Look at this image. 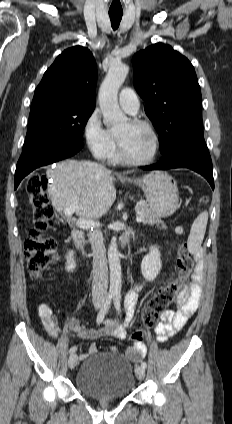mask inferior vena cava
Returning <instances> with one entry per match:
<instances>
[{"label":"inferior vena cava","instance_id":"obj_1","mask_svg":"<svg viewBox=\"0 0 232 424\" xmlns=\"http://www.w3.org/2000/svg\"><path fill=\"white\" fill-rule=\"evenodd\" d=\"M88 236L93 256L92 301L95 304H100L105 301L108 289L106 249L102 233L99 230L90 232Z\"/></svg>","mask_w":232,"mask_h":424}]
</instances>
